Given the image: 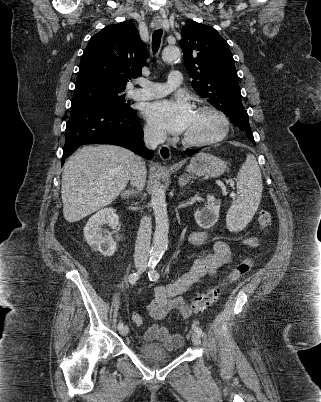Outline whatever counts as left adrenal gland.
<instances>
[{"instance_id":"a2214340","label":"left adrenal gland","mask_w":321,"mask_h":402,"mask_svg":"<svg viewBox=\"0 0 321 402\" xmlns=\"http://www.w3.org/2000/svg\"><path fill=\"white\" fill-rule=\"evenodd\" d=\"M191 179H195L194 176H190L188 174H183L180 176L179 178V184L181 187H183L184 185H186Z\"/></svg>"}]
</instances>
